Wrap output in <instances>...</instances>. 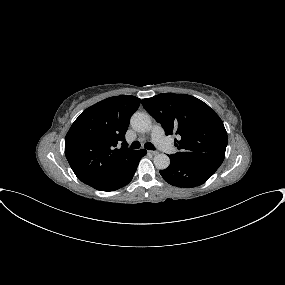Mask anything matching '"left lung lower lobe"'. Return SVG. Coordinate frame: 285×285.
Here are the masks:
<instances>
[{
	"instance_id": "0a47b994",
	"label": "left lung lower lobe",
	"mask_w": 285,
	"mask_h": 285,
	"mask_svg": "<svg viewBox=\"0 0 285 285\" xmlns=\"http://www.w3.org/2000/svg\"><path fill=\"white\" fill-rule=\"evenodd\" d=\"M217 169L208 164L183 161L170 156L169 167L160 171V174L173 186L192 188L205 183Z\"/></svg>"
}]
</instances>
